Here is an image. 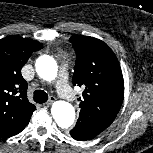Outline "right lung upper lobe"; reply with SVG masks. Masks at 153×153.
Segmentation results:
<instances>
[{"label": "right lung upper lobe", "instance_id": "1", "mask_svg": "<svg viewBox=\"0 0 153 153\" xmlns=\"http://www.w3.org/2000/svg\"><path fill=\"white\" fill-rule=\"evenodd\" d=\"M43 45L38 41L8 36L0 40V137L21 132L36 109L27 99V82L21 69L32 52Z\"/></svg>", "mask_w": 153, "mask_h": 153}]
</instances>
